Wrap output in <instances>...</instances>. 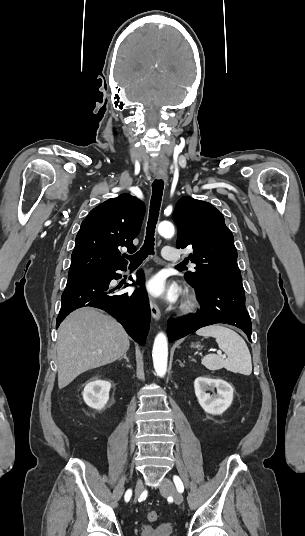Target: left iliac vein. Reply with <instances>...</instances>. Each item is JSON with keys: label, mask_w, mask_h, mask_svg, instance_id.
<instances>
[{"label": "left iliac vein", "mask_w": 305, "mask_h": 536, "mask_svg": "<svg viewBox=\"0 0 305 536\" xmlns=\"http://www.w3.org/2000/svg\"><path fill=\"white\" fill-rule=\"evenodd\" d=\"M159 490L163 495L172 496L177 504L182 503L183 495L174 487L172 481L169 478L163 479Z\"/></svg>", "instance_id": "1"}]
</instances>
